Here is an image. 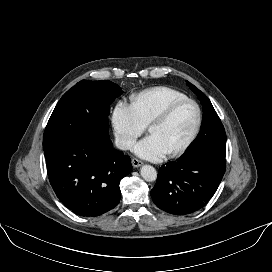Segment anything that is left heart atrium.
<instances>
[{"mask_svg": "<svg viewBox=\"0 0 272 272\" xmlns=\"http://www.w3.org/2000/svg\"><path fill=\"white\" fill-rule=\"evenodd\" d=\"M133 151L139 157L148 160H159L166 154L164 148L155 136H149L134 146Z\"/></svg>", "mask_w": 272, "mask_h": 272, "instance_id": "1", "label": "left heart atrium"}]
</instances>
